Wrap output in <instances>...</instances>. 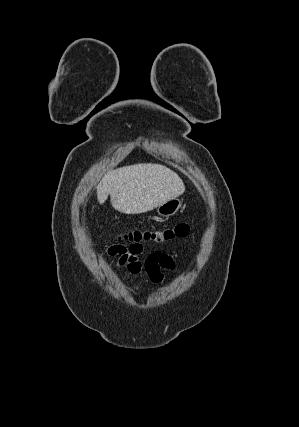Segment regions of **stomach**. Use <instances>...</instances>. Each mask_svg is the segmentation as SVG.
<instances>
[{
  "instance_id": "obj_1",
  "label": "stomach",
  "mask_w": 299,
  "mask_h": 427,
  "mask_svg": "<svg viewBox=\"0 0 299 427\" xmlns=\"http://www.w3.org/2000/svg\"><path fill=\"white\" fill-rule=\"evenodd\" d=\"M182 206V201L179 198L171 199L157 207L158 215L162 217H170L175 215Z\"/></svg>"
}]
</instances>
